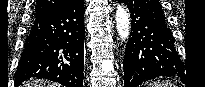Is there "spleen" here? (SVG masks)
I'll use <instances>...</instances> for the list:
<instances>
[{
    "mask_svg": "<svg viewBox=\"0 0 205 87\" xmlns=\"http://www.w3.org/2000/svg\"><path fill=\"white\" fill-rule=\"evenodd\" d=\"M149 87H175L169 82L164 81H156L149 84Z\"/></svg>",
    "mask_w": 205,
    "mask_h": 87,
    "instance_id": "spleen-1",
    "label": "spleen"
}]
</instances>
